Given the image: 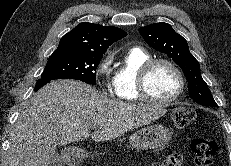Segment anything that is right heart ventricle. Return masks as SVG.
<instances>
[{"instance_id": "1", "label": "right heart ventricle", "mask_w": 231, "mask_h": 166, "mask_svg": "<svg viewBox=\"0 0 231 166\" xmlns=\"http://www.w3.org/2000/svg\"><path fill=\"white\" fill-rule=\"evenodd\" d=\"M151 56L139 47L130 48L122 57L114 76V93L118 100L137 101V76L140 67Z\"/></svg>"}]
</instances>
